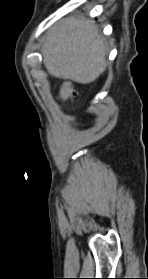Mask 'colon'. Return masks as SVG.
Segmentation results:
<instances>
[{
	"label": "colon",
	"instance_id": "colon-1",
	"mask_svg": "<svg viewBox=\"0 0 148 279\" xmlns=\"http://www.w3.org/2000/svg\"><path fill=\"white\" fill-rule=\"evenodd\" d=\"M57 94L61 98H66L68 96L74 95L75 90L69 81H65L58 87Z\"/></svg>",
	"mask_w": 148,
	"mask_h": 279
}]
</instances>
